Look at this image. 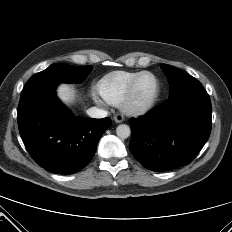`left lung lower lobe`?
I'll return each instance as SVG.
<instances>
[{"label":"left lung lower lobe","instance_id":"obj_1","mask_svg":"<svg viewBox=\"0 0 232 232\" xmlns=\"http://www.w3.org/2000/svg\"><path fill=\"white\" fill-rule=\"evenodd\" d=\"M212 106L201 86L188 88L131 119L133 156L147 169L167 171L189 164L211 132Z\"/></svg>","mask_w":232,"mask_h":232}]
</instances>
